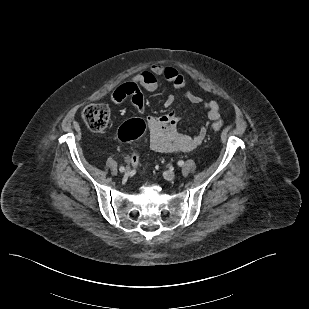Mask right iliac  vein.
I'll use <instances>...</instances> for the list:
<instances>
[{
    "label": "right iliac vein",
    "mask_w": 309,
    "mask_h": 309,
    "mask_svg": "<svg viewBox=\"0 0 309 309\" xmlns=\"http://www.w3.org/2000/svg\"><path fill=\"white\" fill-rule=\"evenodd\" d=\"M124 173H125L126 176H128L129 173H130V168H126V169L124 170Z\"/></svg>",
    "instance_id": "1"
}]
</instances>
